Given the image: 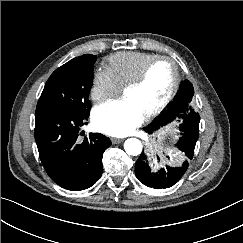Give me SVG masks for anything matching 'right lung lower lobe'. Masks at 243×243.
Instances as JSON below:
<instances>
[{
    "label": "right lung lower lobe",
    "mask_w": 243,
    "mask_h": 243,
    "mask_svg": "<svg viewBox=\"0 0 243 243\" xmlns=\"http://www.w3.org/2000/svg\"><path fill=\"white\" fill-rule=\"evenodd\" d=\"M88 117L89 113H35V140L43 167L54 182L72 191L87 189L99 180L103 153L111 145L108 137L94 133L80 142L79 130Z\"/></svg>",
    "instance_id": "right-lung-lower-lobe-1"
}]
</instances>
